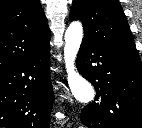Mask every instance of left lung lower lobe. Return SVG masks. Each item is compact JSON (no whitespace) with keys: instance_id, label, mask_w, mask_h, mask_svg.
Returning <instances> with one entry per match:
<instances>
[{"instance_id":"obj_1","label":"left lung lower lobe","mask_w":142,"mask_h":128,"mask_svg":"<svg viewBox=\"0 0 142 128\" xmlns=\"http://www.w3.org/2000/svg\"><path fill=\"white\" fill-rule=\"evenodd\" d=\"M80 74L96 89L81 113L87 128H142L141 62L83 39L76 60Z\"/></svg>"}]
</instances>
